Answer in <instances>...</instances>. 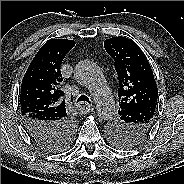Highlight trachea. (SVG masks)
<instances>
[{
    "instance_id": "trachea-1",
    "label": "trachea",
    "mask_w": 184,
    "mask_h": 184,
    "mask_svg": "<svg viewBox=\"0 0 184 184\" xmlns=\"http://www.w3.org/2000/svg\"><path fill=\"white\" fill-rule=\"evenodd\" d=\"M77 102H84V103L87 102V103H90V100H89V98L86 95H81L78 98Z\"/></svg>"
}]
</instances>
